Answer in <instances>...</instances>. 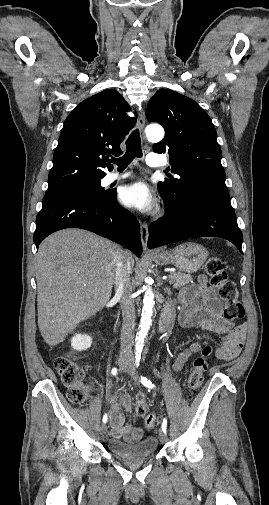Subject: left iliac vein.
<instances>
[{
	"label": "left iliac vein",
	"instance_id": "obj_1",
	"mask_svg": "<svg viewBox=\"0 0 269 505\" xmlns=\"http://www.w3.org/2000/svg\"><path fill=\"white\" fill-rule=\"evenodd\" d=\"M122 369L130 375V377L135 382V384H139V379H138V375L136 372V368H135V365H134L133 360L131 358H128L127 362L124 363ZM160 441L162 443H165L168 441V437H167L166 433L160 432Z\"/></svg>",
	"mask_w": 269,
	"mask_h": 505
}]
</instances>
